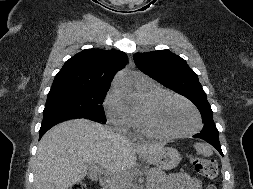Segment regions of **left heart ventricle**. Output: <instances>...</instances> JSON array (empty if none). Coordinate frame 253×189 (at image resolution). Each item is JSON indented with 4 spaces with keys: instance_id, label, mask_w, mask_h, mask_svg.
<instances>
[{
    "instance_id": "b2bd125f",
    "label": "left heart ventricle",
    "mask_w": 253,
    "mask_h": 189,
    "mask_svg": "<svg viewBox=\"0 0 253 189\" xmlns=\"http://www.w3.org/2000/svg\"><path fill=\"white\" fill-rule=\"evenodd\" d=\"M156 124L165 131L180 133L196 126V116L185 103L166 97L160 101L154 112Z\"/></svg>"
}]
</instances>
